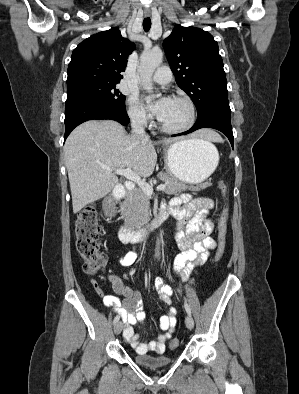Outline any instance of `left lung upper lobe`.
Listing matches in <instances>:
<instances>
[{"instance_id":"left-lung-upper-lobe-1","label":"left lung upper lobe","mask_w":299,"mask_h":394,"mask_svg":"<svg viewBox=\"0 0 299 394\" xmlns=\"http://www.w3.org/2000/svg\"><path fill=\"white\" fill-rule=\"evenodd\" d=\"M163 48L176 83L189 95L197 111L215 100L228 99L223 61L210 33L176 25Z\"/></svg>"}]
</instances>
